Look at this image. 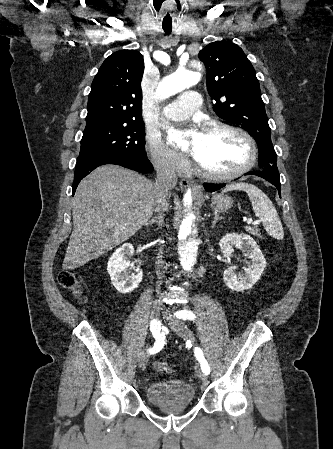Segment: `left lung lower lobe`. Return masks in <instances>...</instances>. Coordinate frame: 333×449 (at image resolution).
<instances>
[{"instance_id": "1", "label": "left lung lower lobe", "mask_w": 333, "mask_h": 449, "mask_svg": "<svg viewBox=\"0 0 333 449\" xmlns=\"http://www.w3.org/2000/svg\"><path fill=\"white\" fill-rule=\"evenodd\" d=\"M250 174L262 177V178L266 179L267 181H269L270 183H272L278 189L279 196H280L281 184H280L279 175H273L271 173L264 172V171H251V172L246 173L245 175H250ZM224 186H225V184H205L204 188L208 192H214Z\"/></svg>"}]
</instances>
